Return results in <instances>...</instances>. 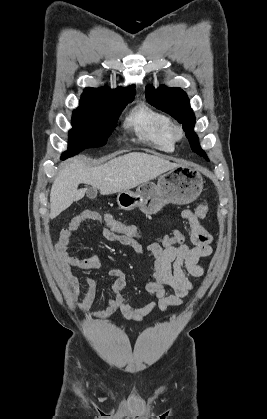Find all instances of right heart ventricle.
Returning <instances> with one entry per match:
<instances>
[{"instance_id": "1", "label": "right heart ventricle", "mask_w": 267, "mask_h": 419, "mask_svg": "<svg viewBox=\"0 0 267 419\" xmlns=\"http://www.w3.org/2000/svg\"><path fill=\"white\" fill-rule=\"evenodd\" d=\"M124 123L139 140L160 151L174 150L175 141L169 132L171 120L163 112L145 103H139L130 110Z\"/></svg>"}]
</instances>
